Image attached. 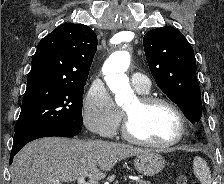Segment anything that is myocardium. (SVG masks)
Here are the masks:
<instances>
[{"mask_svg":"<svg viewBox=\"0 0 224 184\" xmlns=\"http://www.w3.org/2000/svg\"><path fill=\"white\" fill-rule=\"evenodd\" d=\"M138 103L142 109H146L155 104H163L169 107L177 116L179 121L178 134L170 141L162 144L147 141L135 134L132 126V116L126 110L124 111V121L122 127L123 136L130 142L149 147L156 150H165L181 142L187 133V121L182 110L170 99L156 95H141Z\"/></svg>","mask_w":224,"mask_h":184,"instance_id":"obj_1","label":"myocardium"}]
</instances>
